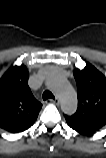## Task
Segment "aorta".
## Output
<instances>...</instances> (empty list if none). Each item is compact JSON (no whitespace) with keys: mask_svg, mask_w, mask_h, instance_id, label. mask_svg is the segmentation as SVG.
I'll use <instances>...</instances> for the list:
<instances>
[{"mask_svg":"<svg viewBox=\"0 0 106 158\" xmlns=\"http://www.w3.org/2000/svg\"><path fill=\"white\" fill-rule=\"evenodd\" d=\"M46 84L58 96L61 109L65 114H74L77 110V95L70 83L61 75L52 73L46 79Z\"/></svg>","mask_w":106,"mask_h":158,"instance_id":"aorta-1","label":"aorta"}]
</instances>
